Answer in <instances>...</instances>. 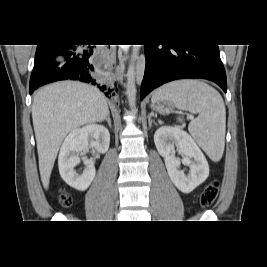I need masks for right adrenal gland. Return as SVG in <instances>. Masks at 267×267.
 Segmentation results:
<instances>
[{
	"label": "right adrenal gland",
	"mask_w": 267,
	"mask_h": 267,
	"mask_svg": "<svg viewBox=\"0 0 267 267\" xmlns=\"http://www.w3.org/2000/svg\"><path fill=\"white\" fill-rule=\"evenodd\" d=\"M105 121L108 123V126H109L110 128H112V125H111V119H110V113H109V112H108L107 117L105 118Z\"/></svg>",
	"instance_id": "right-adrenal-gland-1"
}]
</instances>
